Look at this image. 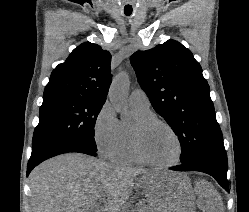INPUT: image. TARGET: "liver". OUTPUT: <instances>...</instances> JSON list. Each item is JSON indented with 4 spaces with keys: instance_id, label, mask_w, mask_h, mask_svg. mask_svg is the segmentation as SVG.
Returning a JSON list of instances; mask_svg holds the SVG:
<instances>
[{
    "instance_id": "6515ba94",
    "label": "liver",
    "mask_w": 249,
    "mask_h": 212,
    "mask_svg": "<svg viewBox=\"0 0 249 212\" xmlns=\"http://www.w3.org/2000/svg\"><path fill=\"white\" fill-rule=\"evenodd\" d=\"M150 210L160 212L169 190L172 172H148L131 166H113L84 154H62L42 162L29 176L32 212H94L93 204H104L103 212H124L135 178ZM198 208L202 212H223L222 198L214 186L196 184Z\"/></svg>"
}]
</instances>
